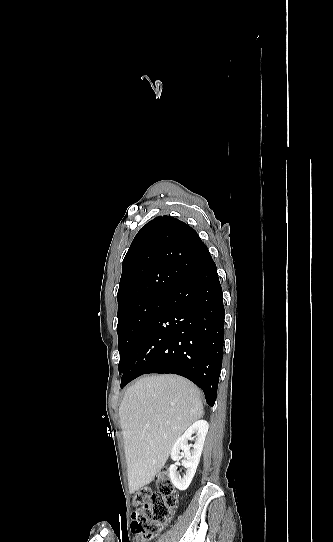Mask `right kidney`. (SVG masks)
<instances>
[{
  "mask_svg": "<svg viewBox=\"0 0 333 542\" xmlns=\"http://www.w3.org/2000/svg\"><path fill=\"white\" fill-rule=\"evenodd\" d=\"M208 428L209 426L206 420L194 422V424L184 432L183 436L178 438L171 450V458L174 462H178L179 458H181L180 450H184V458H186V460H183L182 462L184 468H186V474L183 478H179L177 474V464H172L169 468L171 482L173 486H175L177 490H181V492H184V490L189 488L192 478H194L196 474ZM192 434H196L195 444L189 446L188 440H190ZM190 448H193V450H190Z\"/></svg>",
  "mask_w": 333,
  "mask_h": 542,
  "instance_id": "obj_1",
  "label": "right kidney"
}]
</instances>
